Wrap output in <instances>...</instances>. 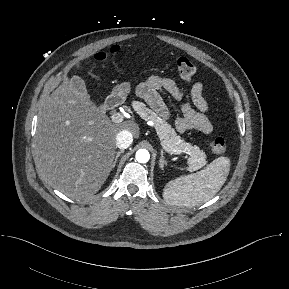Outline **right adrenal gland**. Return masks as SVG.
<instances>
[{
  "mask_svg": "<svg viewBox=\"0 0 289 289\" xmlns=\"http://www.w3.org/2000/svg\"><path fill=\"white\" fill-rule=\"evenodd\" d=\"M123 152H124V150H120V151L117 152L116 157H115V160H114L113 165H112V168L115 167L118 158L120 157V155H121Z\"/></svg>",
  "mask_w": 289,
  "mask_h": 289,
  "instance_id": "right-adrenal-gland-1",
  "label": "right adrenal gland"
}]
</instances>
